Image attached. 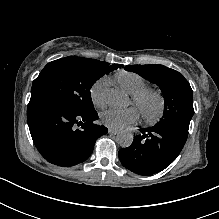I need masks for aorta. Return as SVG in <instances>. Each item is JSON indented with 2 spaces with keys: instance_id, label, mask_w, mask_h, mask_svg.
<instances>
[{
  "instance_id": "aorta-1",
  "label": "aorta",
  "mask_w": 219,
  "mask_h": 219,
  "mask_svg": "<svg viewBox=\"0 0 219 219\" xmlns=\"http://www.w3.org/2000/svg\"><path fill=\"white\" fill-rule=\"evenodd\" d=\"M106 99L109 105L123 108L128 104V98L126 95L118 91L117 89H108L106 91ZM133 134L130 131L123 130L118 133L116 141L122 147L126 148L131 146L133 142Z\"/></svg>"
}]
</instances>
